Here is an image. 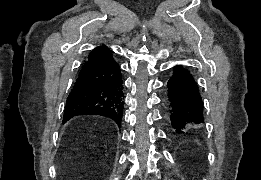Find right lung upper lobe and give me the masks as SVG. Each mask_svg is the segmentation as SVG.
<instances>
[{"label":"right lung upper lobe","instance_id":"1","mask_svg":"<svg viewBox=\"0 0 261 180\" xmlns=\"http://www.w3.org/2000/svg\"><path fill=\"white\" fill-rule=\"evenodd\" d=\"M112 61H114V59L110 49H108L106 46L96 47L93 49V51L90 52L89 56L84 61L80 72L93 66L110 63Z\"/></svg>","mask_w":261,"mask_h":180}]
</instances>
